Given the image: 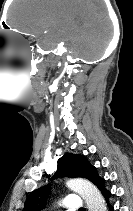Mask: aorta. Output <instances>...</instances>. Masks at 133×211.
<instances>
[{
    "mask_svg": "<svg viewBox=\"0 0 133 211\" xmlns=\"http://www.w3.org/2000/svg\"><path fill=\"white\" fill-rule=\"evenodd\" d=\"M66 185L85 200L88 211H106L105 201L101 193L91 182L74 178L68 180Z\"/></svg>",
    "mask_w": 133,
    "mask_h": 211,
    "instance_id": "obj_1",
    "label": "aorta"
}]
</instances>
